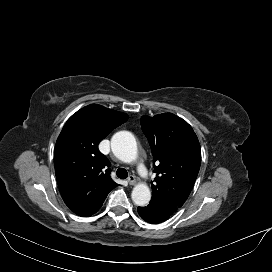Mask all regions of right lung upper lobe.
Wrapping results in <instances>:
<instances>
[{
  "mask_svg": "<svg viewBox=\"0 0 272 272\" xmlns=\"http://www.w3.org/2000/svg\"><path fill=\"white\" fill-rule=\"evenodd\" d=\"M128 119L127 114L98 104L73 114L55 145V174L61 196L79 216H91L116 187L110 177V163L99 142Z\"/></svg>",
  "mask_w": 272,
  "mask_h": 272,
  "instance_id": "1",
  "label": "right lung upper lobe"
}]
</instances>
